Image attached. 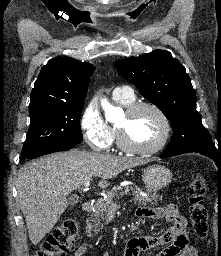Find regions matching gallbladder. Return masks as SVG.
Wrapping results in <instances>:
<instances>
[{"label":"gallbladder","instance_id":"1","mask_svg":"<svg viewBox=\"0 0 221 256\" xmlns=\"http://www.w3.org/2000/svg\"><path fill=\"white\" fill-rule=\"evenodd\" d=\"M78 201H79V198L77 197V196H72L71 198H70V205L71 206H74L75 204H77L78 203Z\"/></svg>","mask_w":221,"mask_h":256}]
</instances>
